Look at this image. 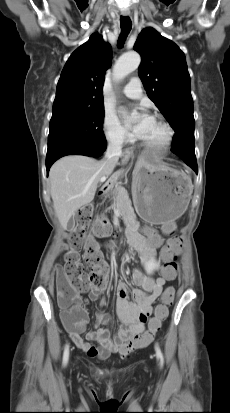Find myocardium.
<instances>
[{
    "instance_id": "myocardium-1",
    "label": "myocardium",
    "mask_w": 230,
    "mask_h": 413,
    "mask_svg": "<svg viewBox=\"0 0 230 413\" xmlns=\"http://www.w3.org/2000/svg\"><path fill=\"white\" fill-rule=\"evenodd\" d=\"M153 120L157 121L162 126V128L165 131V136L163 140H161L160 142H155V143L147 142L141 139V144L146 149L153 150V151H161V150L166 149L171 144L174 132H173L171 125L168 122H166L163 118L159 116H155Z\"/></svg>"
}]
</instances>
